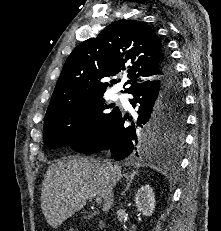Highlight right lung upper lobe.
Wrapping results in <instances>:
<instances>
[{
  "label": "right lung upper lobe",
  "instance_id": "1",
  "mask_svg": "<svg viewBox=\"0 0 221 231\" xmlns=\"http://www.w3.org/2000/svg\"><path fill=\"white\" fill-rule=\"evenodd\" d=\"M164 47L154 30L137 20H123L96 38L78 45L68 57L54 89L45 118L77 98L103 96L106 77L125 73L132 93L162 76ZM116 83V80H111Z\"/></svg>",
  "mask_w": 221,
  "mask_h": 231
}]
</instances>
